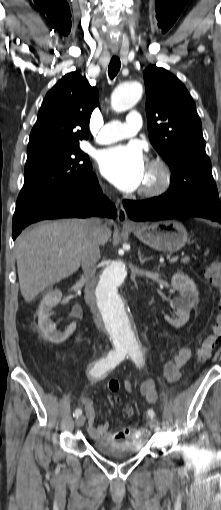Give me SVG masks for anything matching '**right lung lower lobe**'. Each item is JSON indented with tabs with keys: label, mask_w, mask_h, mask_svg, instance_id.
Returning a JSON list of instances; mask_svg holds the SVG:
<instances>
[{
	"label": "right lung lower lobe",
	"mask_w": 221,
	"mask_h": 510,
	"mask_svg": "<svg viewBox=\"0 0 221 510\" xmlns=\"http://www.w3.org/2000/svg\"><path fill=\"white\" fill-rule=\"evenodd\" d=\"M115 214L114 204L103 196L96 175L91 173L84 183L45 202L26 219L14 216L12 237L15 239L23 228L40 220L92 215L113 218Z\"/></svg>",
	"instance_id": "1"
}]
</instances>
